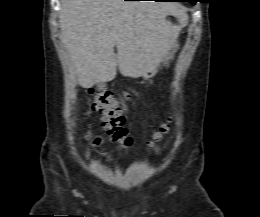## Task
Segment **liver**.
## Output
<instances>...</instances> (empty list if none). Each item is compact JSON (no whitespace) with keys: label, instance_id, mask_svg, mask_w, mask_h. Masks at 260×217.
I'll list each match as a JSON object with an SVG mask.
<instances>
[{"label":"liver","instance_id":"1","mask_svg":"<svg viewBox=\"0 0 260 217\" xmlns=\"http://www.w3.org/2000/svg\"><path fill=\"white\" fill-rule=\"evenodd\" d=\"M168 15L180 21L187 18L169 2L62 0L60 39L79 84L88 88L111 81L117 66L131 78L156 68L176 37Z\"/></svg>","mask_w":260,"mask_h":217}]
</instances>
